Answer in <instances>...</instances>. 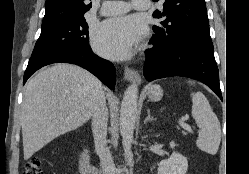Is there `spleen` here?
I'll use <instances>...</instances> for the list:
<instances>
[{
	"instance_id": "3e777b00",
	"label": "spleen",
	"mask_w": 249,
	"mask_h": 174,
	"mask_svg": "<svg viewBox=\"0 0 249 174\" xmlns=\"http://www.w3.org/2000/svg\"><path fill=\"white\" fill-rule=\"evenodd\" d=\"M189 83L193 82L189 81ZM191 97L192 116L199 127L196 145L200 150L215 155L221 140L220 122L203 93H192Z\"/></svg>"
}]
</instances>
